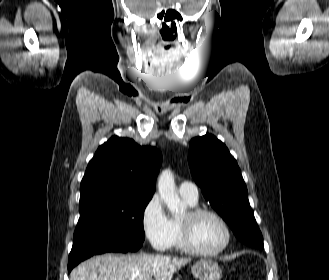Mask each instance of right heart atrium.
Segmentation results:
<instances>
[{
    "mask_svg": "<svg viewBox=\"0 0 329 280\" xmlns=\"http://www.w3.org/2000/svg\"><path fill=\"white\" fill-rule=\"evenodd\" d=\"M141 227L153 248L164 251L171 247L173 226L158 195H153L143 207Z\"/></svg>",
    "mask_w": 329,
    "mask_h": 280,
    "instance_id": "d8ad5b80",
    "label": "right heart atrium"
}]
</instances>
